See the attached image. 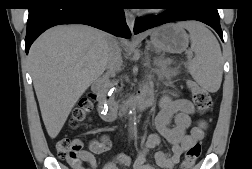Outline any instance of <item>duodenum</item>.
<instances>
[{"label": "duodenum", "mask_w": 252, "mask_h": 169, "mask_svg": "<svg viewBox=\"0 0 252 169\" xmlns=\"http://www.w3.org/2000/svg\"><path fill=\"white\" fill-rule=\"evenodd\" d=\"M92 90L97 94L99 101V112L102 120L105 122H113L118 115V104L113 99H110L107 92V84L103 79L94 82ZM153 105V98L151 96H142L136 100L130 101L124 107V111L142 112Z\"/></svg>", "instance_id": "obj_1"}]
</instances>
